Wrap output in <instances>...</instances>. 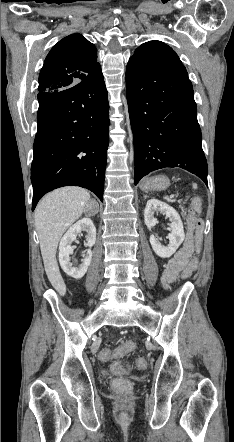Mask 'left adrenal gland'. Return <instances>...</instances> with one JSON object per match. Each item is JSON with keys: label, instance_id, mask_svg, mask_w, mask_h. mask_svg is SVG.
Listing matches in <instances>:
<instances>
[{"label": "left adrenal gland", "instance_id": "obj_1", "mask_svg": "<svg viewBox=\"0 0 234 442\" xmlns=\"http://www.w3.org/2000/svg\"><path fill=\"white\" fill-rule=\"evenodd\" d=\"M148 196L147 195H144V198H147Z\"/></svg>", "mask_w": 234, "mask_h": 442}]
</instances>
